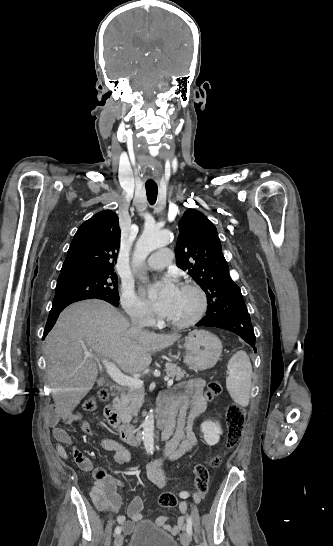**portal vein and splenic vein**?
I'll return each instance as SVG.
<instances>
[{
  "mask_svg": "<svg viewBox=\"0 0 333 546\" xmlns=\"http://www.w3.org/2000/svg\"><path fill=\"white\" fill-rule=\"evenodd\" d=\"M85 356L89 358H95L97 360L99 359L97 356L89 352L85 353ZM102 363L105 366L108 374L117 384L121 386H128L131 388H141L143 386V381L140 378L131 377V376H127L123 374L113 362L108 361L106 359H102ZM165 380H167V386L173 385V379H169L167 377L165 378Z\"/></svg>",
  "mask_w": 333,
  "mask_h": 546,
  "instance_id": "obj_1",
  "label": "portal vein and splenic vein"
}]
</instances>
